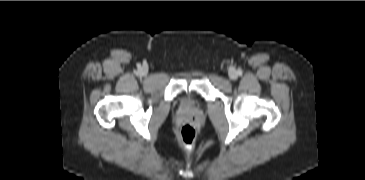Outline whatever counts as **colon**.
Listing matches in <instances>:
<instances>
[{"mask_svg": "<svg viewBox=\"0 0 365 180\" xmlns=\"http://www.w3.org/2000/svg\"><path fill=\"white\" fill-rule=\"evenodd\" d=\"M179 138L183 144L191 147L196 140V131L194 127L190 123H185L179 131Z\"/></svg>", "mask_w": 365, "mask_h": 180, "instance_id": "1", "label": "colon"}]
</instances>
